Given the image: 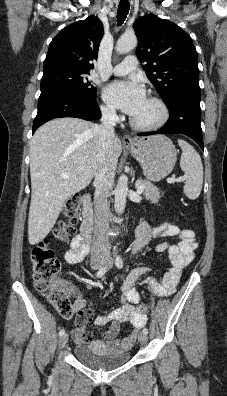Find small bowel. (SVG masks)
<instances>
[{"mask_svg": "<svg viewBox=\"0 0 227 396\" xmlns=\"http://www.w3.org/2000/svg\"><path fill=\"white\" fill-rule=\"evenodd\" d=\"M177 237V244L161 242L157 245V251L168 253L171 263L169 271L161 280H154V289L161 296H167L176 290L182 276V272L194 257L197 248L195 234L189 229H180L170 222H162L152 229L146 222H141L137 229L133 243V251L139 252L147 247L153 240L158 238ZM88 254V246L76 236L71 242V248L64 254V260L68 264H78L82 262ZM149 270L147 266H140L134 269L124 280L121 286L120 301L122 305L108 314L101 315L95 319L97 325H108V328L101 334L98 343L103 344L109 350L118 352L130 348L136 340V333H132L124 338H119L120 324L128 322L136 330L141 329L147 321L145 313H139L135 307L140 302V295L135 289L138 278ZM67 292L74 297L73 310L78 312L75 322L74 336L80 343H91L94 341L92 334L87 330V324L92 320L94 312L91 307L85 308L86 300L81 291L70 284L64 285Z\"/></svg>", "mask_w": 227, "mask_h": 396, "instance_id": "small-bowel-1", "label": "small bowel"}]
</instances>
